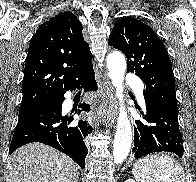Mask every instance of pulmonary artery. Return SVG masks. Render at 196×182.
<instances>
[{"instance_id":"pulmonary-artery-1","label":"pulmonary artery","mask_w":196,"mask_h":182,"mask_svg":"<svg viewBox=\"0 0 196 182\" xmlns=\"http://www.w3.org/2000/svg\"><path fill=\"white\" fill-rule=\"evenodd\" d=\"M126 83L129 86L135 87L136 95H137L138 99L140 100V102L143 104L144 103V96H143L142 88L138 87V85L140 83L139 79L133 74H128L126 77Z\"/></svg>"}]
</instances>
